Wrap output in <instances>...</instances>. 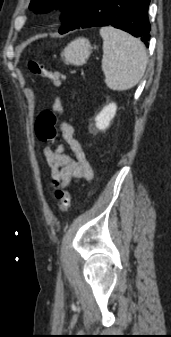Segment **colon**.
Returning a JSON list of instances; mask_svg holds the SVG:
<instances>
[{
    "label": "colon",
    "mask_w": 171,
    "mask_h": 337,
    "mask_svg": "<svg viewBox=\"0 0 171 337\" xmlns=\"http://www.w3.org/2000/svg\"><path fill=\"white\" fill-rule=\"evenodd\" d=\"M30 72L34 75L44 77L51 81L54 85H60L63 76L44 64L31 60L28 63ZM57 116L52 110L42 111L35 122V133L38 139L48 144H52L57 136L56 130ZM55 196L57 198L58 209L64 213L68 210L71 202V194L67 188L61 185L59 180L54 182Z\"/></svg>",
    "instance_id": "obj_1"
}]
</instances>
